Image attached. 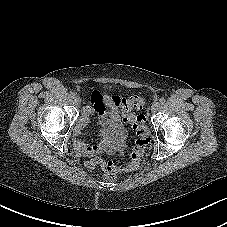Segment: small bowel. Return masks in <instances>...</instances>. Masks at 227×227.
Masks as SVG:
<instances>
[{"mask_svg":"<svg viewBox=\"0 0 227 227\" xmlns=\"http://www.w3.org/2000/svg\"><path fill=\"white\" fill-rule=\"evenodd\" d=\"M91 104L83 109L75 127V135H80L89 123L91 116H96L100 128L98 142L89 144L74 139V148L78 154L92 156L104 151L119 149L126 136L122 119V99L116 95L101 94L94 90L90 96Z\"/></svg>","mask_w":227,"mask_h":227,"instance_id":"c3829d8e","label":"small bowel"}]
</instances>
